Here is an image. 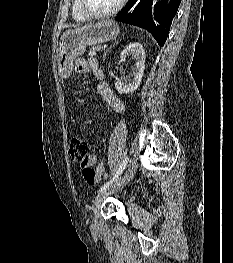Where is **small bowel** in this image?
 Returning <instances> with one entry per match:
<instances>
[{
	"label": "small bowel",
	"instance_id": "c3829d8e",
	"mask_svg": "<svg viewBox=\"0 0 233 263\" xmlns=\"http://www.w3.org/2000/svg\"><path fill=\"white\" fill-rule=\"evenodd\" d=\"M90 70L93 71L96 78L99 80L98 91L102 95L104 101L110 109L119 115H123L125 112V105L123 101L113 92L111 87L103 80V74L100 70L98 63L95 59H78L75 62V72L78 74H86ZM97 161L94 154L89 155L87 158V166L93 169ZM104 170L103 164L97 165L95 171ZM97 179L95 183L99 182Z\"/></svg>",
	"mask_w": 233,
	"mask_h": 263
}]
</instances>
